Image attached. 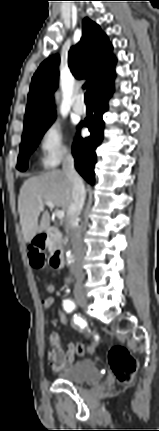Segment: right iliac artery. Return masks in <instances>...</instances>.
Here are the masks:
<instances>
[{
    "mask_svg": "<svg viewBox=\"0 0 159 431\" xmlns=\"http://www.w3.org/2000/svg\"><path fill=\"white\" fill-rule=\"evenodd\" d=\"M63 307L67 312H72L75 309V303L72 300L67 299L63 302ZM75 323L84 326L78 318H75Z\"/></svg>",
    "mask_w": 159,
    "mask_h": 431,
    "instance_id": "obj_1",
    "label": "right iliac artery"
}]
</instances>
